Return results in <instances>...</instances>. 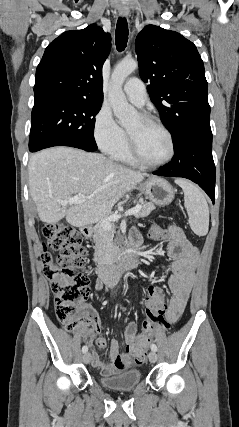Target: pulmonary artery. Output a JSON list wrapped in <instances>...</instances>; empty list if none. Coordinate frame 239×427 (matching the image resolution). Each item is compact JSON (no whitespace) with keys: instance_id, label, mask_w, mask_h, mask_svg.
Wrapping results in <instances>:
<instances>
[{"instance_id":"pulmonary-artery-1","label":"pulmonary artery","mask_w":239,"mask_h":427,"mask_svg":"<svg viewBox=\"0 0 239 427\" xmlns=\"http://www.w3.org/2000/svg\"><path fill=\"white\" fill-rule=\"evenodd\" d=\"M123 90L129 101L138 107L144 106L147 101V93L143 82L138 78L129 79L123 86Z\"/></svg>"}]
</instances>
